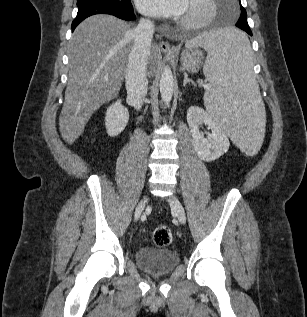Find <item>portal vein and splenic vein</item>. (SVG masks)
<instances>
[{"mask_svg":"<svg viewBox=\"0 0 307 317\" xmlns=\"http://www.w3.org/2000/svg\"><path fill=\"white\" fill-rule=\"evenodd\" d=\"M203 87H204V89H206V90H209V89H210V85H208V84H204Z\"/></svg>","mask_w":307,"mask_h":317,"instance_id":"portal-vein-and-splenic-vein-1","label":"portal vein and splenic vein"}]
</instances>
